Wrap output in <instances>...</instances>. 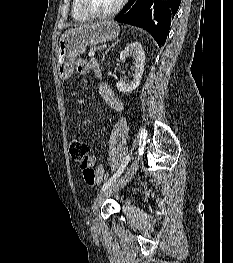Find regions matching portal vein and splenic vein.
Wrapping results in <instances>:
<instances>
[{
    "label": "portal vein and splenic vein",
    "instance_id": "1",
    "mask_svg": "<svg viewBox=\"0 0 233 263\" xmlns=\"http://www.w3.org/2000/svg\"><path fill=\"white\" fill-rule=\"evenodd\" d=\"M94 55H95V52H92V51L89 52V56H94Z\"/></svg>",
    "mask_w": 233,
    "mask_h": 263
}]
</instances>
